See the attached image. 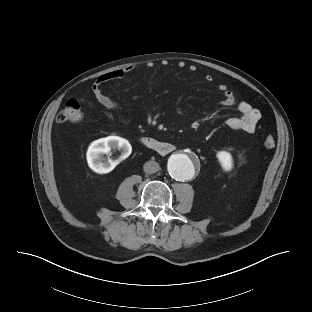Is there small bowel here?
I'll return each instance as SVG.
<instances>
[{
	"mask_svg": "<svg viewBox=\"0 0 312 312\" xmlns=\"http://www.w3.org/2000/svg\"><path fill=\"white\" fill-rule=\"evenodd\" d=\"M149 66H153V63H149ZM135 68V66H127L125 68L116 69L98 76L92 85V91L96 100L108 110L121 112V105L108 96L103 91L102 86L109 81L122 79L125 75L133 72ZM206 79L210 81L212 80V77L207 76ZM218 90L223 95L221 105L225 107L237 106V109L241 114V116L229 117L226 120V125L233 130H241L247 133H253L256 129L257 123L261 118L259 110L254 108L246 101L237 102L233 92L229 90L224 84L219 85Z\"/></svg>",
	"mask_w": 312,
	"mask_h": 312,
	"instance_id": "obj_1",
	"label": "small bowel"
}]
</instances>
